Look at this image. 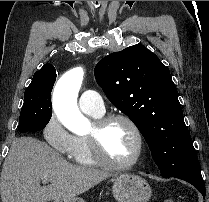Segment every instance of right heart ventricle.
<instances>
[{"mask_svg":"<svg viewBox=\"0 0 209 202\" xmlns=\"http://www.w3.org/2000/svg\"><path fill=\"white\" fill-rule=\"evenodd\" d=\"M87 114L99 118L102 115H95L89 112ZM68 157L71 161L83 165V166H95L97 165V161L95 160L88 140L87 136H75L73 146L68 154Z\"/></svg>","mask_w":209,"mask_h":202,"instance_id":"obj_1","label":"right heart ventricle"}]
</instances>
